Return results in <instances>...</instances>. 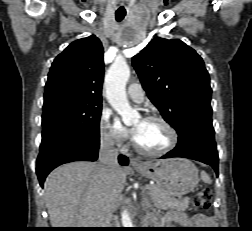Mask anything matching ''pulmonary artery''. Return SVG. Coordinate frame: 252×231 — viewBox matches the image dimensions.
Instances as JSON below:
<instances>
[{
	"instance_id": "pulmonary-artery-1",
	"label": "pulmonary artery",
	"mask_w": 252,
	"mask_h": 231,
	"mask_svg": "<svg viewBox=\"0 0 252 231\" xmlns=\"http://www.w3.org/2000/svg\"><path fill=\"white\" fill-rule=\"evenodd\" d=\"M127 93L129 97L137 103H141L145 97L144 91L139 83L129 84L127 87Z\"/></svg>"
}]
</instances>
